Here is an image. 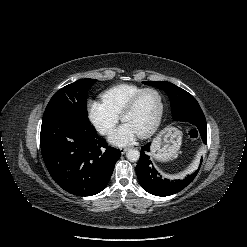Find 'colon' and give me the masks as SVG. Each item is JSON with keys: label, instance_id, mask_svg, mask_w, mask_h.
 Returning a JSON list of instances; mask_svg holds the SVG:
<instances>
[{"label": "colon", "instance_id": "1", "mask_svg": "<svg viewBox=\"0 0 247 247\" xmlns=\"http://www.w3.org/2000/svg\"><path fill=\"white\" fill-rule=\"evenodd\" d=\"M191 139H197L199 137V132L196 129H191L188 133Z\"/></svg>", "mask_w": 247, "mask_h": 247}]
</instances>
